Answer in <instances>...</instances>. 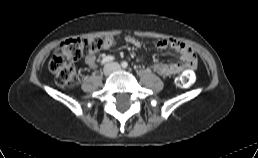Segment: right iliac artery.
<instances>
[{
    "label": "right iliac artery",
    "instance_id": "1",
    "mask_svg": "<svg viewBox=\"0 0 258 158\" xmlns=\"http://www.w3.org/2000/svg\"><path fill=\"white\" fill-rule=\"evenodd\" d=\"M114 60L113 56H106L102 61H101V65L106 64L108 62H111Z\"/></svg>",
    "mask_w": 258,
    "mask_h": 158
}]
</instances>
